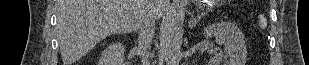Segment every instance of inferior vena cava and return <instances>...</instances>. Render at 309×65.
<instances>
[{
	"mask_svg": "<svg viewBox=\"0 0 309 65\" xmlns=\"http://www.w3.org/2000/svg\"><path fill=\"white\" fill-rule=\"evenodd\" d=\"M138 50L142 65H150V49L155 33V17L151 12L143 16L138 28Z\"/></svg>",
	"mask_w": 309,
	"mask_h": 65,
	"instance_id": "inferior-vena-cava-1",
	"label": "inferior vena cava"
}]
</instances>
